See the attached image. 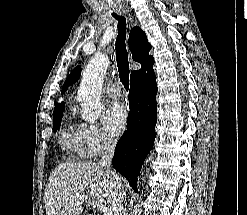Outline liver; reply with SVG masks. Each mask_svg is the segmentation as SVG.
Returning <instances> with one entry per match:
<instances>
[{"label":"liver","mask_w":247,"mask_h":215,"mask_svg":"<svg viewBox=\"0 0 247 215\" xmlns=\"http://www.w3.org/2000/svg\"><path fill=\"white\" fill-rule=\"evenodd\" d=\"M123 189L121 178L116 174ZM114 187L105 168L92 162L59 164L50 174L44 192L46 215H78L84 200L112 205Z\"/></svg>","instance_id":"liver-1"}]
</instances>
